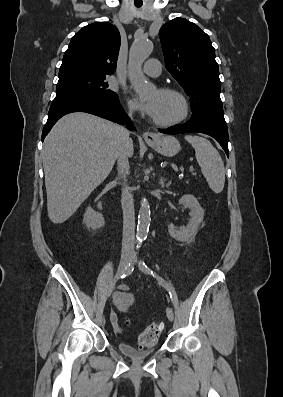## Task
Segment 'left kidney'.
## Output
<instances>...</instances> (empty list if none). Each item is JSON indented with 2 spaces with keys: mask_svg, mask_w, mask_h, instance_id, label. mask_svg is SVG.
Wrapping results in <instances>:
<instances>
[{
  "mask_svg": "<svg viewBox=\"0 0 283 397\" xmlns=\"http://www.w3.org/2000/svg\"><path fill=\"white\" fill-rule=\"evenodd\" d=\"M179 203L189 208L191 219L186 226L176 228L173 224L168 225V231L172 238L180 242L191 241L198 232V227L204 218V210L198 200L191 194L180 198Z\"/></svg>",
  "mask_w": 283,
  "mask_h": 397,
  "instance_id": "obj_1",
  "label": "left kidney"
}]
</instances>
